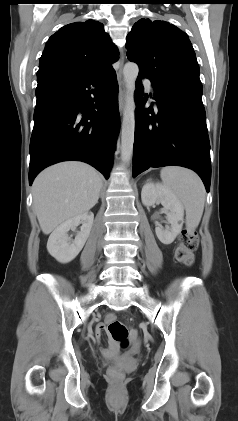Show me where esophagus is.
Wrapping results in <instances>:
<instances>
[{"mask_svg":"<svg viewBox=\"0 0 238 421\" xmlns=\"http://www.w3.org/2000/svg\"><path fill=\"white\" fill-rule=\"evenodd\" d=\"M123 63H124V54L121 53L119 60V70L117 72L118 83H119V95H118V104L119 110L122 113L125 106V95H126V82L123 77Z\"/></svg>","mask_w":238,"mask_h":421,"instance_id":"obj_1","label":"esophagus"}]
</instances>
